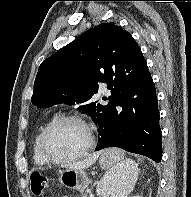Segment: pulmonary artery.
<instances>
[{
	"instance_id": "obj_1",
	"label": "pulmonary artery",
	"mask_w": 191,
	"mask_h": 197,
	"mask_svg": "<svg viewBox=\"0 0 191 197\" xmlns=\"http://www.w3.org/2000/svg\"><path fill=\"white\" fill-rule=\"evenodd\" d=\"M100 91L102 93H108L107 85L105 83L100 84Z\"/></svg>"
}]
</instances>
